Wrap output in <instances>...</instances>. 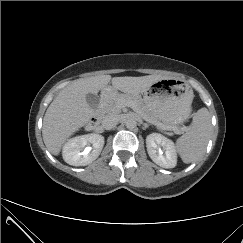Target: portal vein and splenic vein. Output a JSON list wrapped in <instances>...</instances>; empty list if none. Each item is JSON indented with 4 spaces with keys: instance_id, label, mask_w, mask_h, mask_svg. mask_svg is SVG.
I'll use <instances>...</instances> for the list:
<instances>
[{
    "instance_id": "1",
    "label": "portal vein and splenic vein",
    "mask_w": 243,
    "mask_h": 243,
    "mask_svg": "<svg viewBox=\"0 0 243 243\" xmlns=\"http://www.w3.org/2000/svg\"><path fill=\"white\" fill-rule=\"evenodd\" d=\"M146 121H148L149 123H151V124H154V125H156L157 127H159V128H162V126L160 125V124H158V123H156L155 121H153V120H151V119H146V118H144Z\"/></svg>"
}]
</instances>
